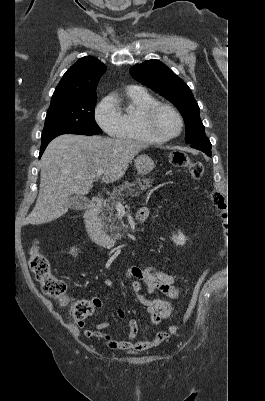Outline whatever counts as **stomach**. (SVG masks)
I'll use <instances>...</instances> for the list:
<instances>
[{"mask_svg": "<svg viewBox=\"0 0 265 401\" xmlns=\"http://www.w3.org/2000/svg\"><path fill=\"white\" fill-rule=\"evenodd\" d=\"M135 166L138 170V174H148L154 168V160L148 154H139L135 158Z\"/></svg>", "mask_w": 265, "mask_h": 401, "instance_id": "1", "label": "stomach"}]
</instances>
